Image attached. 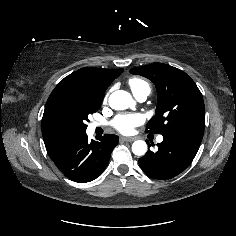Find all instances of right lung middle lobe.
I'll return each instance as SVG.
<instances>
[{
    "label": "right lung middle lobe",
    "mask_w": 236,
    "mask_h": 236,
    "mask_svg": "<svg viewBox=\"0 0 236 236\" xmlns=\"http://www.w3.org/2000/svg\"><path fill=\"white\" fill-rule=\"evenodd\" d=\"M102 100L57 85L47 100L43 120L57 133L73 137L82 135L86 133L88 115L101 107Z\"/></svg>",
    "instance_id": "1"
}]
</instances>
